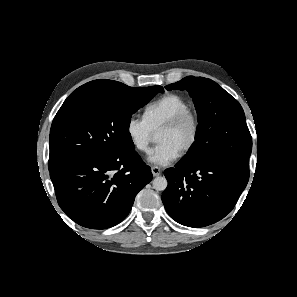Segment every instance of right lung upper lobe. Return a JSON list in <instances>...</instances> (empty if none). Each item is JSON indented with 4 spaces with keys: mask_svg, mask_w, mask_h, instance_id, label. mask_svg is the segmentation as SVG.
I'll use <instances>...</instances> for the list:
<instances>
[{
    "mask_svg": "<svg viewBox=\"0 0 297 297\" xmlns=\"http://www.w3.org/2000/svg\"><path fill=\"white\" fill-rule=\"evenodd\" d=\"M102 80L105 79L94 80L80 86L68 96L65 102H72L83 97L99 94L102 87Z\"/></svg>",
    "mask_w": 297,
    "mask_h": 297,
    "instance_id": "1",
    "label": "right lung upper lobe"
}]
</instances>
